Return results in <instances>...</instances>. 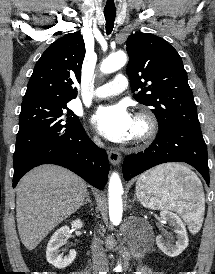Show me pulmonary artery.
Wrapping results in <instances>:
<instances>
[{
	"label": "pulmonary artery",
	"mask_w": 215,
	"mask_h": 274,
	"mask_svg": "<svg viewBox=\"0 0 215 274\" xmlns=\"http://www.w3.org/2000/svg\"><path fill=\"white\" fill-rule=\"evenodd\" d=\"M128 81L124 75H116L114 79L94 91V96L97 98H107L117 95L127 88Z\"/></svg>",
	"instance_id": "pulmonary-artery-1"
}]
</instances>
